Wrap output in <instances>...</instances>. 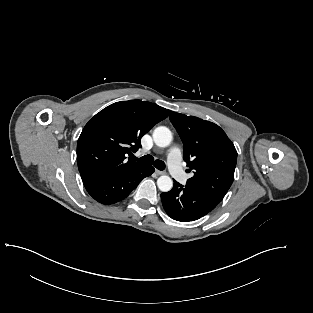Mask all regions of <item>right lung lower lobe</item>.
Wrapping results in <instances>:
<instances>
[{"instance_id": "1", "label": "right lung lower lobe", "mask_w": 313, "mask_h": 313, "mask_svg": "<svg viewBox=\"0 0 313 313\" xmlns=\"http://www.w3.org/2000/svg\"><path fill=\"white\" fill-rule=\"evenodd\" d=\"M153 172L152 166L144 165L118 175L83 181V184L96 201L102 204H113L125 199L143 178Z\"/></svg>"}]
</instances>
